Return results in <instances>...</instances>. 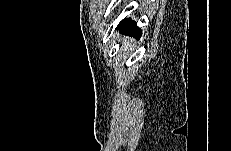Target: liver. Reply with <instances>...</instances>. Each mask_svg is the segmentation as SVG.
<instances>
[{
	"mask_svg": "<svg viewBox=\"0 0 231 151\" xmlns=\"http://www.w3.org/2000/svg\"><path fill=\"white\" fill-rule=\"evenodd\" d=\"M132 41H133L132 39L124 38V39H123V44H122L121 49L127 50V48L130 46V43H131Z\"/></svg>",
	"mask_w": 231,
	"mask_h": 151,
	"instance_id": "liver-1",
	"label": "liver"
}]
</instances>
